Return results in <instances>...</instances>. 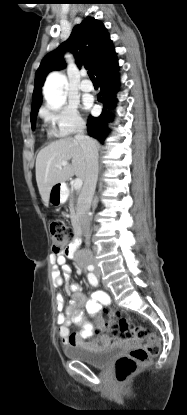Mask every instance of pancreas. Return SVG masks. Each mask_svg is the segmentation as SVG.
Instances as JSON below:
<instances>
[{
	"label": "pancreas",
	"instance_id": "obj_1",
	"mask_svg": "<svg viewBox=\"0 0 187 415\" xmlns=\"http://www.w3.org/2000/svg\"><path fill=\"white\" fill-rule=\"evenodd\" d=\"M69 209H70V218L73 226H76L78 224V216L76 212V207L74 206L73 197L70 199L69 203Z\"/></svg>",
	"mask_w": 187,
	"mask_h": 415
}]
</instances>
